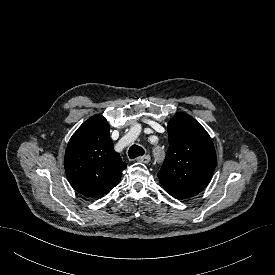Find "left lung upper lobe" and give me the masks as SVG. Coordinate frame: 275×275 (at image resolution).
Returning a JSON list of instances; mask_svg holds the SVG:
<instances>
[{
  "mask_svg": "<svg viewBox=\"0 0 275 275\" xmlns=\"http://www.w3.org/2000/svg\"><path fill=\"white\" fill-rule=\"evenodd\" d=\"M169 150L158 173L164 189L176 199L201 192L216 166L213 142L191 116L176 113L168 123Z\"/></svg>",
  "mask_w": 275,
  "mask_h": 275,
  "instance_id": "1",
  "label": "left lung upper lobe"
}]
</instances>
